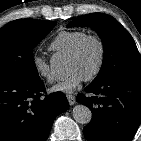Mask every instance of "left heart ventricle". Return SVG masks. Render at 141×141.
Returning <instances> with one entry per match:
<instances>
[{
	"label": "left heart ventricle",
	"mask_w": 141,
	"mask_h": 141,
	"mask_svg": "<svg viewBox=\"0 0 141 141\" xmlns=\"http://www.w3.org/2000/svg\"><path fill=\"white\" fill-rule=\"evenodd\" d=\"M99 59L98 46L94 42H89L82 53L77 58H68L67 71L79 72L84 78L96 68Z\"/></svg>",
	"instance_id": "left-heart-ventricle-1"
}]
</instances>
